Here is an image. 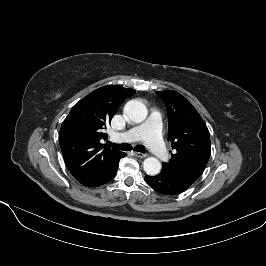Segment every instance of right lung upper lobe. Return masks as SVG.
Segmentation results:
<instances>
[{
  "instance_id": "right-lung-upper-lobe-1",
  "label": "right lung upper lobe",
  "mask_w": 266,
  "mask_h": 266,
  "mask_svg": "<svg viewBox=\"0 0 266 266\" xmlns=\"http://www.w3.org/2000/svg\"><path fill=\"white\" fill-rule=\"evenodd\" d=\"M135 93L120 85L103 86L74 105L63 121L59 141L64 160L79 183L107 171L123 154L106 147V125L120 104Z\"/></svg>"
}]
</instances>
